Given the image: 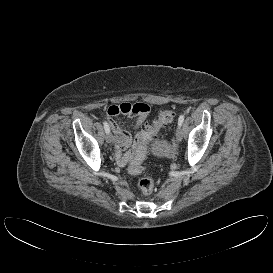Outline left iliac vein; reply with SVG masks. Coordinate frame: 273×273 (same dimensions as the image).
<instances>
[{"label":"left iliac vein","instance_id":"left-iliac-vein-1","mask_svg":"<svg viewBox=\"0 0 273 273\" xmlns=\"http://www.w3.org/2000/svg\"><path fill=\"white\" fill-rule=\"evenodd\" d=\"M175 135L177 142H181L183 138V132L180 125H178V127L176 128Z\"/></svg>","mask_w":273,"mask_h":273}]
</instances>
